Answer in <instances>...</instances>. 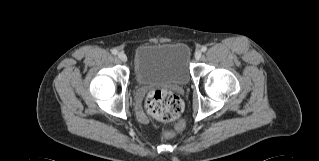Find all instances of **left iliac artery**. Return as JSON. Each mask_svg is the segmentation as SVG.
<instances>
[{
	"mask_svg": "<svg viewBox=\"0 0 319 161\" xmlns=\"http://www.w3.org/2000/svg\"><path fill=\"white\" fill-rule=\"evenodd\" d=\"M201 50H202V52H205V51L207 50V47H206V46H203V47L201 48Z\"/></svg>",
	"mask_w": 319,
	"mask_h": 161,
	"instance_id": "44dca946",
	"label": "left iliac artery"
}]
</instances>
